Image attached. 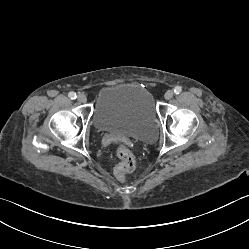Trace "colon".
Listing matches in <instances>:
<instances>
[{
	"mask_svg": "<svg viewBox=\"0 0 249 249\" xmlns=\"http://www.w3.org/2000/svg\"><path fill=\"white\" fill-rule=\"evenodd\" d=\"M117 155L120 159V163L116 167V175L122 177L125 173L131 172L135 168V160L131 151L124 145H121L117 149Z\"/></svg>",
	"mask_w": 249,
	"mask_h": 249,
	"instance_id": "obj_1",
	"label": "colon"
}]
</instances>
